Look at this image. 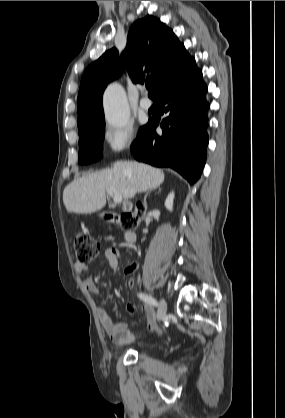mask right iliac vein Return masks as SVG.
I'll return each instance as SVG.
<instances>
[{
	"label": "right iliac vein",
	"instance_id": "1",
	"mask_svg": "<svg viewBox=\"0 0 285 418\" xmlns=\"http://www.w3.org/2000/svg\"><path fill=\"white\" fill-rule=\"evenodd\" d=\"M166 309H167V306H166V302H165V300L164 299H161L160 300V306H159V308H158V319L161 321V320H163L164 318H165V315H166Z\"/></svg>",
	"mask_w": 285,
	"mask_h": 418
}]
</instances>
